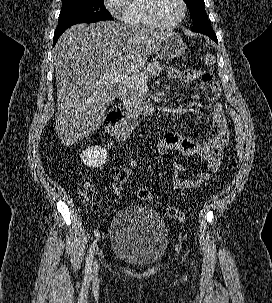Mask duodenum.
Returning a JSON list of instances; mask_svg holds the SVG:
<instances>
[{
    "mask_svg": "<svg viewBox=\"0 0 272 303\" xmlns=\"http://www.w3.org/2000/svg\"><path fill=\"white\" fill-rule=\"evenodd\" d=\"M119 101L111 108L106 123L105 132L117 141L125 140L144 112H148L150 107L141 110H127L121 101V93H118Z\"/></svg>",
    "mask_w": 272,
    "mask_h": 303,
    "instance_id": "410a0bca",
    "label": "duodenum"
}]
</instances>
